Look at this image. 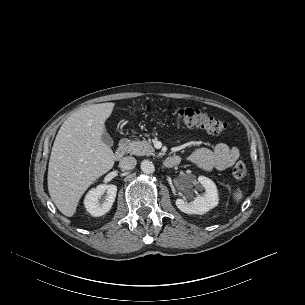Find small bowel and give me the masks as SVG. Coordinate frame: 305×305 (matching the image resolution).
Returning a JSON list of instances; mask_svg holds the SVG:
<instances>
[{"label": "small bowel", "mask_w": 305, "mask_h": 305, "mask_svg": "<svg viewBox=\"0 0 305 305\" xmlns=\"http://www.w3.org/2000/svg\"><path fill=\"white\" fill-rule=\"evenodd\" d=\"M240 155L239 149L226 143H219L213 149L198 148L187 156L189 163L205 171H222L235 164Z\"/></svg>", "instance_id": "obj_1"}]
</instances>
